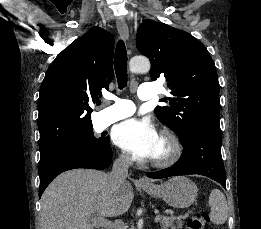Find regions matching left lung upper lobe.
<instances>
[{
    "instance_id": "5c2ea615",
    "label": "left lung upper lobe",
    "mask_w": 261,
    "mask_h": 229,
    "mask_svg": "<svg viewBox=\"0 0 261 229\" xmlns=\"http://www.w3.org/2000/svg\"><path fill=\"white\" fill-rule=\"evenodd\" d=\"M137 49L151 61L152 80L166 78L171 97L156 107L158 119L185 143L205 129L220 133L219 83L206 47L189 33L152 20L137 31Z\"/></svg>"
}]
</instances>
